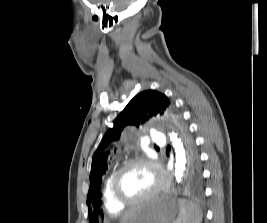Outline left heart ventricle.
<instances>
[{
    "label": "left heart ventricle",
    "instance_id": "left-heart-ventricle-1",
    "mask_svg": "<svg viewBox=\"0 0 267 223\" xmlns=\"http://www.w3.org/2000/svg\"><path fill=\"white\" fill-rule=\"evenodd\" d=\"M157 177L147 165L129 167L119 178L118 191L127 200L139 199L149 193L156 185Z\"/></svg>",
    "mask_w": 267,
    "mask_h": 223
}]
</instances>
